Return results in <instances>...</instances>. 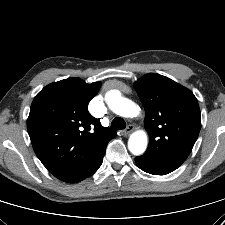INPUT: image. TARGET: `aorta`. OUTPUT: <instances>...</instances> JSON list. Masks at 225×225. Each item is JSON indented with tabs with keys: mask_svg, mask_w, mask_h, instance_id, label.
<instances>
[{
	"mask_svg": "<svg viewBox=\"0 0 225 225\" xmlns=\"http://www.w3.org/2000/svg\"><path fill=\"white\" fill-rule=\"evenodd\" d=\"M105 101L109 108L117 115L133 118L139 114L140 107L133 101L121 96L118 90H110L105 95ZM148 144V137L145 131L133 132L128 140V149L133 155H141L145 152Z\"/></svg>",
	"mask_w": 225,
	"mask_h": 225,
	"instance_id": "1",
	"label": "aorta"
}]
</instances>
